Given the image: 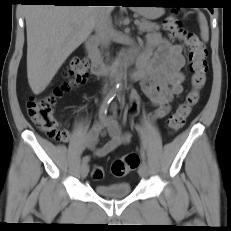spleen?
<instances>
[{"label":"spleen","mask_w":231,"mask_h":231,"mask_svg":"<svg viewBox=\"0 0 231 231\" xmlns=\"http://www.w3.org/2000/svg\"><path fill=\"white\" fill-rule=\"evenodd\" d=\"M199 20H200L201 37L203 41L207 42L209 39V28L204 15L201 13L199 14Z\"/></svg>","instance_id":"3e777b00"}]
</instances>
